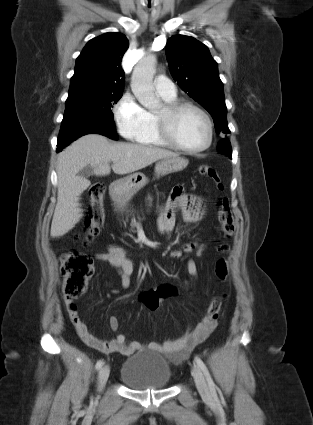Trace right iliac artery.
<instances>
[{
  "instance_id": "82829eb1",
  "label": "right iliac artery",
  "mask_w": 313,
  "mask_h": 425,
  "mask_svg": "<svg viewBox=\"0 0 313 425\" xmlns=\"http://www.w3.org/2000/svg\"><path fill=\"white\" fill-rule=\"evenodd\" d=\"M103 364H104L103 360L97 361V363H96V369L99 370L103 366Z\"/></svg>"
}]
</instances>
